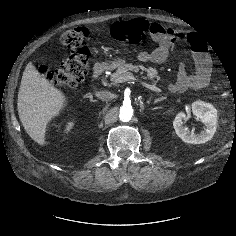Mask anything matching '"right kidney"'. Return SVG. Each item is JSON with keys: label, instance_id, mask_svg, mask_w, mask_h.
<instances>
[{"label": "right kidney", "instance_id": "right-kidney-1", "mask_svg": "<svg viewBox=\"0 0 236 236\" xmlns=\"http://www.w3.org/2000/svg\"><path fill=\"white\" fill-rule=\"evenodd\" d=\"M74 126V122H68L67 125H66V128H65V131L66 132H69Z\"/></svg>", "mask_w": 236, "mask_h": 236}]
</instances>
